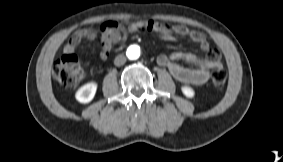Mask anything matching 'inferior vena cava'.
<instances>
[{"instance_id": "obj_1", "label": "inferior vena cava", "mask_w": 283, "mask_h": 162, "mask_svg": "<svg viewBox=\"0 0 283 162\" xmlns=\"http://www.w3.org/2000/svg\"><path fill=\"white\" fill-rule=\"evenodd\" d=\"M125 62H126V57H125L124 55H122V54L116 56L115 59H114V64H115L116 66L124 65Z\"/></svg>"}]
</instances>
